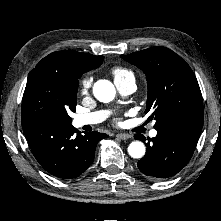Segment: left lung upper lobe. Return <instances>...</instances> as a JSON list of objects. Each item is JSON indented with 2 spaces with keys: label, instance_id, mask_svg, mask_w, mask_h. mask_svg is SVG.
<instances>
[{
  "label": "left lung upper lobe",
  "instance_id": "obj_1",
  "mask_svg": "<svg viewBox=\"0 0 221 221\" xmlns=\"http://www.w3.org/2000/svg\"><path fill=\"white\" fill-rule=\"evenodd\" d=\"M125 61L146 75L148 99L145 113L155 119L156 130L172 125L203 126V100L189 65L165 47H153L129 55Z\"/></svg>",
  "mask_w": 221,
  "mask_h": 221
}]
</instances>
